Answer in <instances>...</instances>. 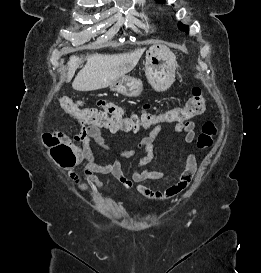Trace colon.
<instances>
[{
    "label": "colon",
    "mask_w": 261,
    "mask_h": 273,
    "mask_svg": "<svg viewBox=\"0 0 261 273\" xmlns=\"http://www.w3.org/2000/svg\"><path fill=\"white\" fill-rule=\"evenodd\" d=\"M60 105L67 113L85 124L107 128L112 131H134L141 127H150L164 122L186 121L197 117L205 111L207 101L201 89L193 87L191 96L184 106L159 114L143 112L141 115L119 117L94 108H84L81 101L67 96L60 98ZM216 133L215 124L210 121L205 122L197 139V147L200 150L211 147ZM42 140L53 162L62 167H72L74 165L76 156L64 135L57 132H45ZM186 187L187 180L183 179L172 185L170 189L172 193H176Z\"/></svg>",
    "instance_id": "colon-1"
}]
</instances>
